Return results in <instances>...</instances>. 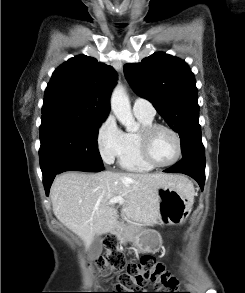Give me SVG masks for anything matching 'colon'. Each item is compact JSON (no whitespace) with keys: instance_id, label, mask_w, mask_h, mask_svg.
I'll use <instances>...</instances> for the list:
<instances>
[{"instance_id":"colon-1","label":"colon","mask_w":245,"mask_h":293,"mask_svg":"<svg viewBox=\"0 0 245 293\" xmlns=\"http://www.w3.org/2000/svg\"><path fill=\"white\" fill-rule=\"evenodd\" d=\"M104 246V254L95 261L96 269L105 276L118 273L115 277L117 292L105 293H156L148 290L147 286L158 284H164L170 289L176 287L175 278L154 257L142 256L138 261L126 262L124 255L117 250V240L113 236L104 240Z\"/></svg>"}]
</instances>
